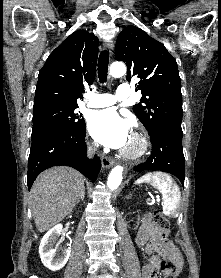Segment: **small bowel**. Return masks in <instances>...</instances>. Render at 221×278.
<instances>
[{
    "instance_id": "small-bowel-1",
    "label": "small bowel",
    "mask_w": 221,
    "mask_h": 278,
    "mask_svg": "<svg viewBox=\"0 0 221 278\" xmlns=\"http://www.w3.org/2000/svg\"><path fill=\"white\" fill-rule=\"evenodd\" d=\"M167 231L155 226L152 216L143 217L135 242L138 247L144 248L147 260L142 267V278H161L159 265L161 258L173 261L177 270L182 267V256L176 246L167 240Z\"/></svg>"
}]
</instances>
